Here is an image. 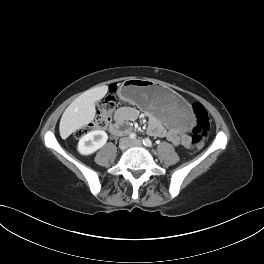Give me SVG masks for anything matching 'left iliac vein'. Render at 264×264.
<instances>
[{"label": "left iliac vein", "mask_w": 264, "mask_h": 264, "mask_svg": "<svg viewBox=\"0 0 264 264\" xmlns=\"http://www.w3.org/2000/svg\"><path fill=\"white\" fill-rule=\"evenodd\" d=\"M131 146H136V147H142L143 146V143L141 140H134V141H131L130 143Z\"/></svg>", "instance_id": "1"}]
</instances>
